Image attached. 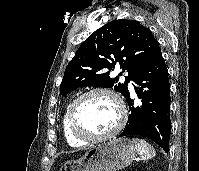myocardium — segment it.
Listing matches in <instances>:
<instances>
[{"label":"myocardium","instance_id":"f54148a6","mask_svg":"<svg viewBox=\"0 0 199 171\" xmlns=\"http://www.w3.org/2000/svg\"><path fill=\"white\" fill-rule=\"evenodd\" d=\"M94 94H104V95L110 96L117 104L118 111H119V120L116 126L108 133H105L103 135H98V136L89 135L85 133L79 128L78 123H77V114H78V109L81 102L85 98ZM127 118H128V111L122 97L116 91L110 88H106V87H95L81 93L71 103L70 108H69V113H68V122H69V128L71 130V133L76 138L82 141H85L87 143H97V142H102V141L113 138L114 136L119 134L121 130L124 128Z\"/></svg>","mask_w":199,"mask_h":171}]
</instances>
